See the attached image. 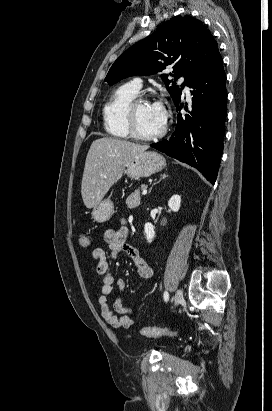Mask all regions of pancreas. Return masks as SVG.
Returning <instances> with one entry per match:
<instances>
[{"instance_id": "pancreas-1", "label": "pancreas", "mask_w": 272, "mask_h": 411, "mask_svg": "<svg viewBox=\"0 0 272 411\" xmlns=\"http://www.w3.org/2000/svg\"><path fill=\"white\" fill-rule=\"evenodd\" d=\"M143 190V186L140 189L135 190L132 194L126 199L127 208L133 209L140 205V193Z\"/></svg>"}]
</instances>
